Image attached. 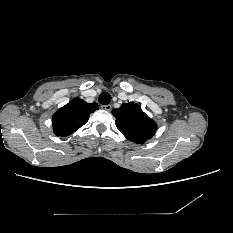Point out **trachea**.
Segmentation results:
<instances>
[{"mask_svg":"<svg viewBox=\"0 0 233 233\" xmlns=\"http://www.w3.org/2000/svg\"><path fill=\"white\" fill-rule=\"evenodd\" d=\"M99 103L102 105H108L111 102V95L108 92H102L99 95Z\"/></svg>","mask_w":233,"mask_h":233,"instance_id":"obj_1","label":"trachea"}]
</instances>
